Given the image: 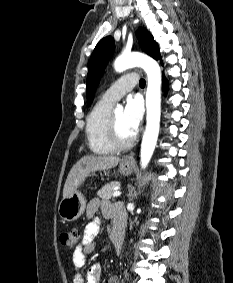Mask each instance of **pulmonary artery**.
Returning a JSON list of instances; mask_svg holds the SVG:
<instances>
[{
  "label": "pulmonary artery",
  "mask_w": 233,
  "mask_h": 283,
  "mask_svg": "<svg viewBox=\"0 0 233 283\" xmlns=\"http://www.w3.org/2000/svg\"><path fill=\"white\" fill-rule=\"evenodd\" d=\"M138 83V78L135 73H128L122 76L112 86H110L102 95L104 101L115 103L127 92L131 91Z\"/></svg>",
  "instance_id": "1"
}]
</instances>
